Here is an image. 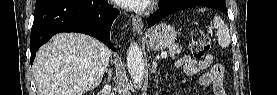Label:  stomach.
I'll return each mask as SVG.
<instances>
[{
  "instance_id": "stomach-1",
  "label": "stomach",
  "mask_w": 277,
  "mask_h": 95,
  "mask_svg": "<svg viewBox=\"0 0 277 95\" xmlns=\"http://www.w3.org/2000/svg\"><path fill=\"white\" fill-rule=\"evenodd\" d=\"M177 38V31L169 24L161 23L150 28L146 35V44L152 51H160L172 45Z\"/></svg>"
}]
</instances>
